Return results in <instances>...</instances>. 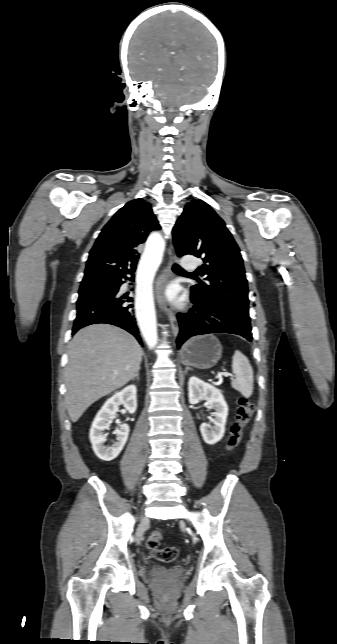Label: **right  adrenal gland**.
Listing matches in <instances>:
<instances>
[{"mask_svg": "<svg viewBox=\"0 0 337 644\" xmlns=\"http://www.w3.org/2000/svg\"><path fill=\"white\" fill-rule=\"evenodd\" d=\"M137 379L139 381V371L136 373V375L132 378V380Z\"/></svg>", "mask_w": 337, "mask_h": 644, "instance_id": "2a0ac1e0", "label": "right adrenal gland"}]
</instances>
